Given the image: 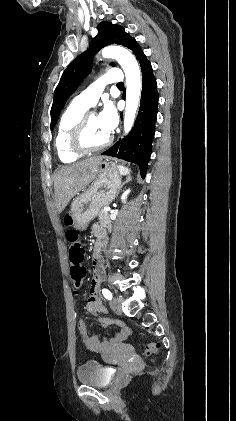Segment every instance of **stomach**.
Segmentation results:
<instances>
[{"instance_id":"1","label":"stomach","mask_w":236,"mask_h":421,"mask_svg":"<svg viewBox=\"0 0 236 421\" xmlns=\"http://www.w3.org/2000/svg\"><path fill=\"white\" fill-rule=\"evenodd\" d=\"M121 188V174L114 162L101 160L95 178L87 190L72 200L70 215L76 231H85L98 217L101 208L114 200Z\"/></svg>"}]
</instances>
